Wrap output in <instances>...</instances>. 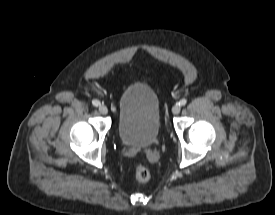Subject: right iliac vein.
I'll list each match as a JSON object with an SVG mask.
<instances>
[{
  "mask_svg": "<svg viewBox=\"0 0 275 215\" xmlns=\"http://www.w3.org/2000/svg\"><path fill=\"white\" fill-rule=\"evenodd\" d=\"M99 111L101 114L106 115L108 113V108L105 105H100Z\"/></svg>",
  "mask_w": 275,
  "mask_h": 215,
  "instance_id": "obj_1",
  "label": "right iliac vein"
}]
</instances>
